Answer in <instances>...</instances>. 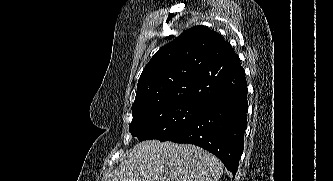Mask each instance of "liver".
Instances as JSON below:
<instances>
[{"label": "liver", "instance_id": "1", "mask_svg": "<svg viewBox=\"0 0 333 181\" xmlns=\"http://www.w3.org/2000/svg\"><path fill=\"white\" fill-rule=\"evenodd\" d=\"M125 157L104 181H218L223 174L216 156L192 144L146 140Z\"/></svg>", "mask_w": 333, "mask_h": 181}]
</instances>
